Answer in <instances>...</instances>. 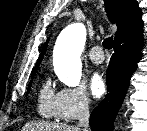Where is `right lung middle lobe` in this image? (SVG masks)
Here are the masks:
<instances>
[{"label":"right lung middle lobe","mask_w":147,"mask_h":131,"mask_svg":"<svg viewBox=\"0 0 147 131\" xmlns=\"http://www.w3.org/2000/svg\"><path fill=\"white\" fill-rule=\"evenodd\" d=\"M35 72H36V70L33 71L32 76L34 75ZM30 88H31V83L29 84L28 92L30 91Z\"/></svg>","instance_id":"dd1d6c3e"}]
</instances>
